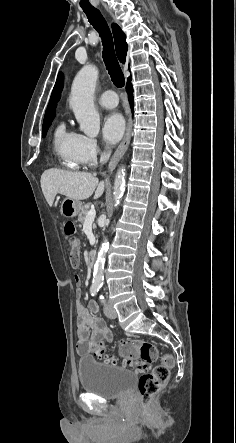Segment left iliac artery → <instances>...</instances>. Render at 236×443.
I'll use <instances>...</instances> for the list:
<instances>
[{
  "mask_svg": "<svg viewBox=\"0 0 236 443\" xmlns=\"http://www.w3.org/2000/svg\"><path fill=\"white\" fill-rule=\"evenodd\" d=\"M100 299L102 300V302H104V296H100Z\"/></svg>",
  "mask_w": 236,
  "mask_h": 443,
  "instance_id": "left-iliac-artery-1",
  "label": "left iliac artery"
}]
</instances>
